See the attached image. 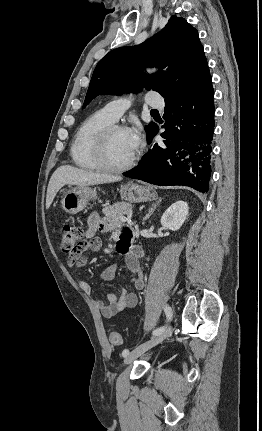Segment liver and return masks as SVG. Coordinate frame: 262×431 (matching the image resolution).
<instances>
[{
    "mask_svg": "<svg viewBox=\"0 0 262 431\" xmlns=\"http://www.w3.org/2000/svg\"><path fill=\"white\" fill-rule=\"evenodd\" d=\"M121 177L94 173L69 165L58 167L52 174L46 196V209L51 206L57 192L64 185L89 186L120 181Z\"/></svg>",
    "mask_w": 262,
    "mask_h": 431,
    "instance_id": "obj_1",
    "label": "liver"
}]
</instances>
